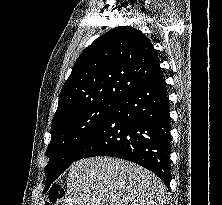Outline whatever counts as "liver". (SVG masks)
<instances>
[{
  "mask_svg": "<svg viewBox=\"0 0 222 205\" xmlns=\"http://www.w3.org/2000/svg\"><path fill=\"white\" fill-rule=\"evenodd\" d=\"M165 185L151 171L111 157L74 162L65 205H164Z\"/></svg>",
  "mask_w": 222,
  "mask_h": 205,
  "instance_id": "liver-1",
  "label": "liver"
}]
</instances>
